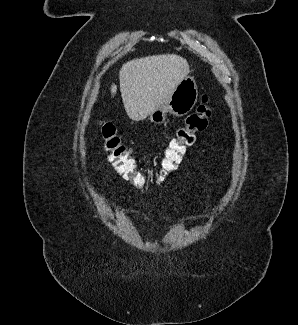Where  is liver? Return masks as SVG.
Here are the masks:
<instances>
[{
    "label": "liver",
    "instance_id": "obj_1",
    "mask_svg": "<svg viewBox=\"0 0 298 325\" xmlns=\"http://www.w3.org/2000/svg\"><path fill=\"white\" fill-rule=\"evenodd\" d=\"M189 72L187 58L174 52L150 54L124 62L119 70V86L129 118H147L148 114L166 102L169 94ZM110 92L115 96V82H112Z\"/></svg>",
    "mask_w": 298,
    "mask_h": 325
}]
</instances>
